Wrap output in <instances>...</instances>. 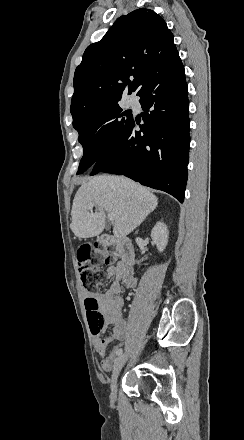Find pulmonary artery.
Returning <instances> with one entry per match:
<instances>
[{
	"mask_svg": "<svg viewBox=\"0 0 244 440\" xmlns=\"http://www.w3.org/2000/svg\"><path fill=\"white\" fill-rule=\"evenodd\" d=\"M130 104H131L133 107H136V106L138 105V101H137V99H136V98H131V99H130Z\"/></svg>",
	"mask_w": 244,
	"mask_h": 440,
	"instance_id": "obj_1",
	"label": "pulmonary artery"
}]
</instances>
